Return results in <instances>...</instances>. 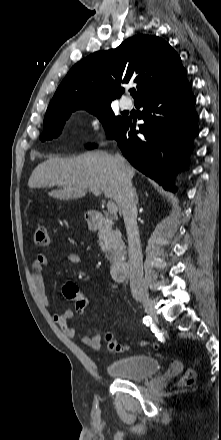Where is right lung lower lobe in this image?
<instances>
[{"label":"right lung lower lobe","instance_id":"right-lung-lower-lobe-1","mask_svg":"<svg viewBox=\"0 0 221 440\" xmlns=\"http://www.w3.org/2000/svg\"><path fill=\"white\" fill-rule=\"evenodd\" d=\"M195 102L185 78L135 103L136 107L144 108L141 113L144 124L139 131L135 130L134 122L126 118L111 137L135 168L172 191H175L174 175L186 166L193 139L198 134Z\"/></svg>","mask_w":221,"mask_h":440}]
</instances>
